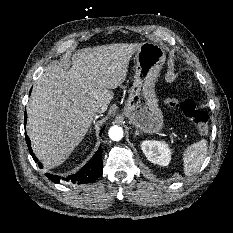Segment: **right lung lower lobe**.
Here are the masks:
<instances>
[{
    "instance_id": "98d812e1",
    "label": "right lung lower lobe",
    "mask_w": 233,
    "mask_h": 233,
    "mask_svg": "<svg viewBox=\"0 0 233 233\" xmlns=\"http://www.w3.org/2000/svg\"><path fill=\"white\" fill-rule=\"evenodd\" d=\"M26 121H27V114L25 113L24 124H26ZM102 132H103V129L101 130L100 134ZM25 138H26V143L28 144V148H29V152L31 156L33 157L35 162H38V159L36 158L35 154L33 153L31 149L30 140L27 134H25ZM38 165L42 167L40 162L38 163ZM102 173H103L102 150L101 148H98L95 155L85 166H83V168H81L76 174L62 178V180L70 181V182L77 183V184L92 183L98 177H100ZM46 176L55 183H58L61 179L60 176H54L52 174H46Z\"/></svg>"
}]
</instances>
